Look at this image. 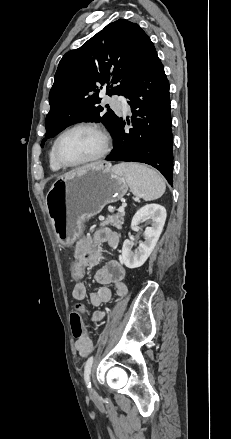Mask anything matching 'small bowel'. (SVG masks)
Wrapping results in <instances>:
<instances>
[{"label":"small bowel","instance_id":"obj_1","mask_svg":"<svg viewBox=\"0 0 231 439\" xmlns=\"http://www.w3.org/2000/svg\"><path fill=\"white\" fill-rule=\"evenodd\" d=\"M120 242L121 238L117 232L109 228L98 229L92 236H87L78 242L75 258H82V264L85 265L86 269L96 266L103 258L102 245L107 243L113 250H117ZM125 276L126 269L119 261L109 260L105 262L95 273L94 279L98 287L89 294L90 304L98 307L109 303L112 299L110 285L115 287L118 296H125L128 290L124 282ZM73 289L72 297L77 302V308L84 314L90 315L92 320L100 321L104 316L103 312L95 311L89 314L87 309L81 304L87 296V283H74ZM75 349L80 356L86 357L93 350L92 340L90 338L77 339L75 341Z\"/></svg>","mask_w":231,"mask_h":439}]
</instances>
